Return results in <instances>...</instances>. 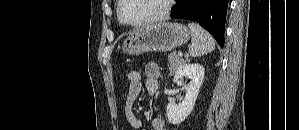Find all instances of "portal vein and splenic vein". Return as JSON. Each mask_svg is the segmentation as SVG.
<instances>
[{
  "label": "portal vein and splenic vein",
  "mask_w": 299,
  "mask_h": 130,
  "mask_svg": "<svg viewBox=\"0 0 299 130\" xmlns=\"http://www.w3.org/2000/svg\"><path fill=\"white\" fill-rule=\"evenodd\" d=\"M178 56L181 57L182 56V52H178Z\"/></svg>",
  "instance_id": "portal-vein-and-splenic-vein-1"
}]
</instances>
